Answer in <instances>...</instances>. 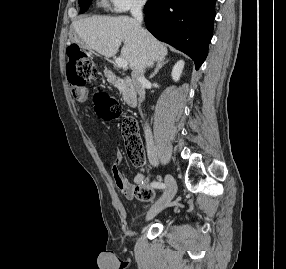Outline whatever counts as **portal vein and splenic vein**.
Listing matches in <instances>:
<instances>
[{
	"instance_id": "1",
	"label": "portal vein and splenic vein",
	"mask_w": 286,
	"mask_h": 269,
	"mask_svg": "<svg viewBox=\"0 0 286 269\" xmlns=\"http://www.w3.org/2000/svg\"><path fill=\"white\" fill-rule=\"evenodd\" d=\"M115 63L120 68H126L128 66V62L124 58H117Z\"/></svg>"
}]
</instances>
